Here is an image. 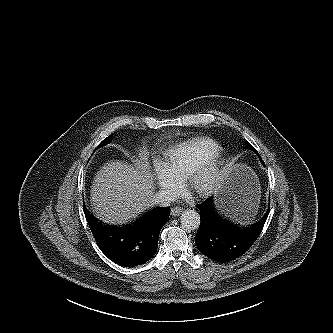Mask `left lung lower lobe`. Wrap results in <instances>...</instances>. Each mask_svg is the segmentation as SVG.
<instances>
[{
  "label": "left lung lower lobe",
  "instance_id": "1",
  "mask_svg": "<svg viewBox=\"0 0 333 333\" xmlns=\"http://www.w3.org/2000/svg\"><path fill=\"white\" fill-rule=\"evenodd\" d=\"M200 226L195 236L198 250L209 259L227 263L243 255L259 237L267 216L252 226H242L225 218L215 207L213 197L196 206Z\"/></svg>",
  "mask_w": 333,
  "mask_h": 333
}]
</instances>
